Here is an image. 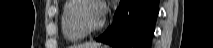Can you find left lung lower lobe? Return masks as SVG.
Wrapping results in <instances>:
<instances>
[{"instance_id":"0a47b994","label":"left lung lower lobe","mask_w":213,"mask_h":48,"mask_svg":"<svg viewBox=\"0 0 213 48\" xmlns=\"http://www.w3.org/2000/svg\"><path fill=\"white\" fill-rule=\"evenodd\" d=\"M159 0H121L111 26L96 41L113 48H150Z\"/></svg>"}]
</instances>
